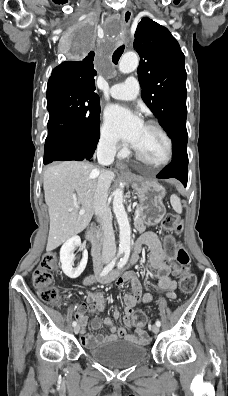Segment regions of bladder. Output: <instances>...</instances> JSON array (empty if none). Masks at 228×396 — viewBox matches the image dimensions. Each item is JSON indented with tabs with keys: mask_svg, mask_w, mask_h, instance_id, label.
Returning <instances> with one entry per match:
<instances>
[{
	"mask_svg": "<svg viewBox=\"0 0 228 396\" xmlns=\"http://www.w3.org/2000/svg\"><path fill=\"white\" fill-rule=\"evenodd\" d=\"M87 354L106 367L127 368L144 361L148 355V349L140 342L117 339L89 348Z\"/></svg>",
	"mask_w": 228,
	"mask_h": 396,
	"instance_id": "31cf9c89",
	"label": "bladder"
}]
</instances>
